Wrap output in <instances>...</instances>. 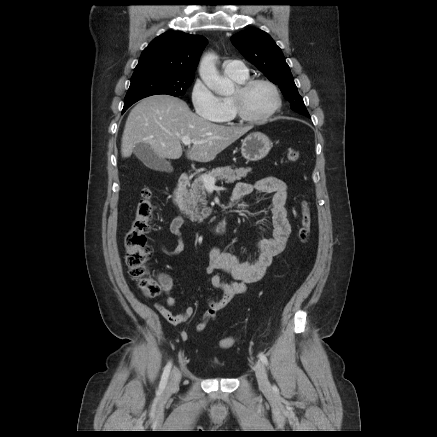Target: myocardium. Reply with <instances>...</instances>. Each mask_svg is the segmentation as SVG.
<instances>
[{
    "mask_svg": "<svg viewBox=\"0 0 437 437\" xmlns=\"http://www.w3.org/2000/svg\"><path fill=\"white\" fill-rule=\"evenodd\" d=\"M258 84H264L271 88L275 97V103L272 109L265 115L260 117H253L247 114L243 106L244 96L248 91ZM232 108L235 117L242 122L249 124H261L271 119L281 108L282 98L280 91L275 83L264 78H252L240 83L237 87V93L231 96Z\"/></svg>",
    "mask_w": 437,
    "mask_h": 437,
    "instance_id": "obj_1",
    "label": "myocardium"
}]
</instances>
